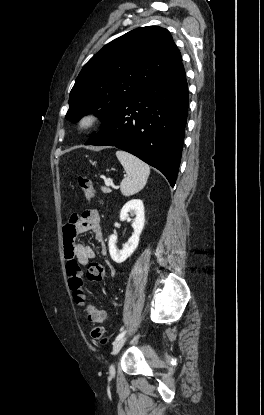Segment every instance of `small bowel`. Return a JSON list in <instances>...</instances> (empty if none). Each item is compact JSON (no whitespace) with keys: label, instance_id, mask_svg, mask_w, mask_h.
<instances>
[{"label":"small bowel","instance_id":"small-bowel-1","mask_svg":"<svg viewBox=\"0 0 264 415\" xmlns=\"http://www.w3.org/2000/svg\"><path fill=\"white\" fill-rule=\"evenodd\" d=\"M100 214L97 210L85 211L82 215H71L64 228V257L67 262L75 261L85 266L95 258L94 249L76 240L78 234L93 232L102 255L107 254V247L99 224ZM69 286V285H68ZM70 288V287H69ZM105 319V313L102 311ZM103 319V321H104Z\"/></svg>","mask_w":264,"mask_h":415}]
</instances>
